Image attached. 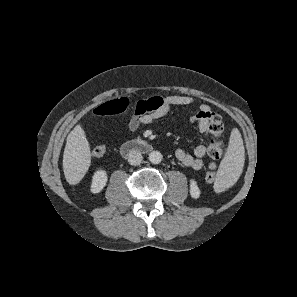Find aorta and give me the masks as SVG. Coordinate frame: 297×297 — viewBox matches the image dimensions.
Returning <instances> with one entry per match:
<instances>
[{
    "label": "aorta",
    "mask_w": 297,
    "mask_h": 297,
    "mask_svg": "<svg viewBox=\"0 0 297 297\" xmlns=\"http://www.w3.org/2000/svg\"><path fill=\"white\" fill-rule=\"evenodd\" d=\"M149 161L152 164H159L162 161V154L159 151H152L149 154Z\"/></svg>",
    "instance_id": "aorta-1"
}]
</instances>
